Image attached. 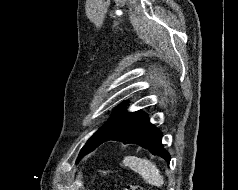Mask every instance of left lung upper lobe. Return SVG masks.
I'll return each instance as SVG.
<instances>
[{"instance_id": "1", "label": "left lung upper lobe", "mask_w": 238, "mask_h": 190, "mask_svg": "<svg viewBox=\"0 0 238 190\" xmlns=\"http://www.w3.org/2000/svg\"><path fill=\"white\" fill-rule=\"evenodd\" d=\"M127 105L128 101H124L119 106H117L112 114V117L90 137V139L81 149L77 161L102 143L104 137L112 129L113 125L120 118V116L124 113Z\"/></svg>"}]
</instances>
